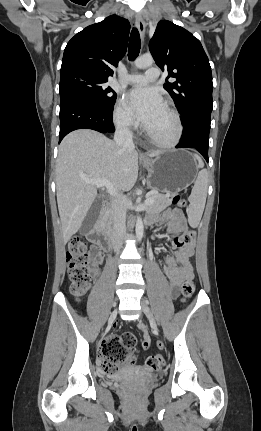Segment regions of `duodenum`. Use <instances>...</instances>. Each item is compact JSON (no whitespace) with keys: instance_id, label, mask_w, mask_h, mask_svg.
I'll return each mask as SVG.
<instances>
[{"instance_id":"obj_1","label":"duodenum","mask_w":261,"mask_h":431,"mask_svg":"<svg viewBox=\"0 0 261 431\" xmlns=\"http://www.w3.org/2000/svg\"><path fill=\"white\" fill-rule=\"evenodd\" d=\"M107 208L102 207L99 213L98 220L95 224L91 239L105 252L110 251L112 246L111 236L106 226Z\"/></svg>"}]
</instances>
